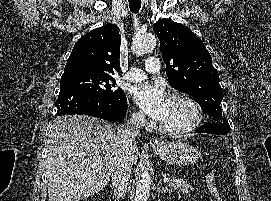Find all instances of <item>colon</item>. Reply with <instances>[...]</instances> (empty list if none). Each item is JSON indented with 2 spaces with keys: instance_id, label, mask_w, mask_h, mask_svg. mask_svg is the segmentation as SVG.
Returning a JSON list of instances; mask_svg holds the SVG:
<instances>
[{
  "instance_id": "obj_1",
  "label": "colon",
  "mask_w": 271,
  "mask_h": 201,
  "mask_svg": "<svg viewBox=\"0 0 271 201\" xmlns=\"http://www.w3.org/2000/svg\"><path fill=\"white\" fill-rule=\"evenodd\" d=\"M208 182L212 189H215V171H211L208 175Z\"/></svg>"
}]
</instances>
